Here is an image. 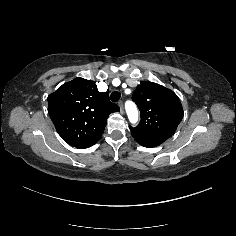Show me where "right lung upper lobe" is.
I'll return each instance as SVG.
<instances>
[{"mask_svg": "<svg viewBox=\"0 0 236 236\" xmlns=\"http://www.w3.org/2000/svg\"><path fill=\"white\" fill-rule=\"evenodd\" d=\"M119 110L107 92H99L95 82L80 77L48 96V112L57 132L79 149L99 141L109 114Z\"/></svg>", "mask_w": 236, "mask_h": 236, "instance_id": "right-lung-upper-lobe-1", "label": "right lung upper lobe"}]
</instances>
